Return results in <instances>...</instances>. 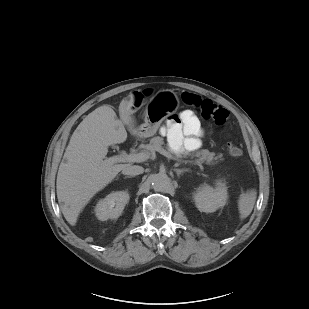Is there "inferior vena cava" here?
Listing matches in <instances>:
<instances>
[{
    "mask_svg": "<svg viewBox=\"0 0 309 309\" xmlns=\"http://www.w3.org/2000/svg\"><path fill=\"white\" fill-rule=\"evenodd\" d=\"M144 172L143 167L138 165H128L122 170V174L136 176Z\"/></svg>",
    "mask_w": 309,
    "mask_h": 309,
    "instance_id": "obj_1",
    "label": "inferior vena cava"
}]
</instances>
